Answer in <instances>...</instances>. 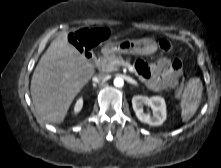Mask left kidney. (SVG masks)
Instances as JSON below:
<instances>
[{
  "mask_svg": "<svg viewBox=\"0 0 221 168\" xmlns=\"http://www.w3.org/2000/svg\"><path fill=\"white\" fill-rule=\"evenodd\" d=\"M145 105L151 107L153 114L145 113L143 108ZM133 110L137 118L151 126H159L166 120V104L165 100L160 96L146 97L136 95L132 98Z\"/></svg>",
  "mask_w": 221,
  "mask_h": 168,
  "instance_id": "1",
  "label": "left kidney"
}]
</instances>
